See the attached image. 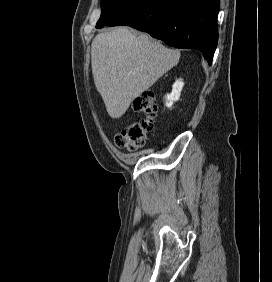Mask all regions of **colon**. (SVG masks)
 <instances>
[{
	"instance_id": "colon-1",
	"label": "colon",
	"mask_w": 272,
	"mask_h": 282,
	"mask_svg": "<svg viewBox=\"0 0 272 282\" xmlns=\"http://www.w3.org/2000/svg\"><path fill=\"white\" fill-rule=\"evenodd\" d=\"M144 118L133 121L115 135V145L130 152L139 150L155 129L157 105L153 93H145L137 97L132 105Z\"/></svg>"
}]
</instances>
